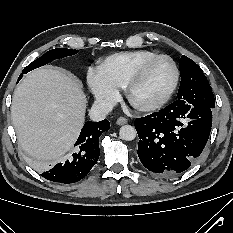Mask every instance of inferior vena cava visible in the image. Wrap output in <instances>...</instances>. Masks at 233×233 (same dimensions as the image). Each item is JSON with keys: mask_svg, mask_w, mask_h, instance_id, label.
<instances>
[{"mask_svg": "<svg viewBox=\"0 0 233 233\" xmlns=\"http://www.w3.org/2000/svg\"><path fill=\"white\" fill-rule=\"evenodd\" d=\"M113 106L111 103L97 100L93 103L90 110V118L93 121H101L105 119L106 115L112 110Z\"/></svg>", "mask_w": 233, "mask_h": 233, "instance_id": "602c4592", "label": "inferior vena cava"}]
</instances>
